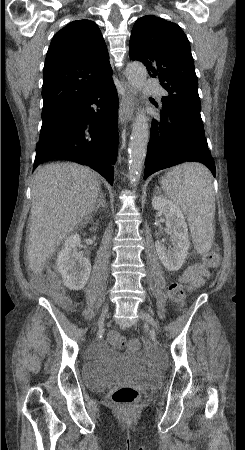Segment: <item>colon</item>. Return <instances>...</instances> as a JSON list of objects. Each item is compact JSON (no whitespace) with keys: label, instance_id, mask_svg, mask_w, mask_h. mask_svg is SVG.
I'll return each mask as SVG.
<instances>
[{"label":"colon","instance_id":"colon-1","mask_svg":"<svg viewBox=\"0 0 245 450\" xmlns=\"http://www.w3.org/2000/svg\"><path fill=\"white\" fill-rule=\"evenodd\" d=\"M218 262L219 252L217 249H210L198 260L200 266L209 269L217 267ZM36 287L40 292L46 293L56 300L65 301V296L58 283L57 276L50 271H44L38 276ZM186 296V289L182 283L172 282L169 285L168 297L173 304L184 306ZM109 340L118 349H125L128 346L127 340L116 333L110 334ZM136 346V344H133L134 348ZM138 396V390L131 386L122 385L113 390L111 399L120 411L126 412L136 402Z\"/></svg>","mask_w":245,"mask_h":450}]
</instances>
